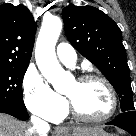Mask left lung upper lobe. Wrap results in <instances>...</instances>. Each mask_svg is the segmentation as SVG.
<instances>
[{
	"label": "left lung upper lobe",
	"instance_id": "left-lung-upper-lobe-1",
	"mask_svg": "<svg viewBox=\"0 0 136 136\" xmlns=\"http://www.w3.org/2000/svg\"><path fill=\"white\" fill-rule=\"evenodd\" d=\"M71 45L110 81L120 97L121 111H134L129 67L117 24L92 6L69 5L62 10Z\"/></svg>",
	"mask_w": 136,
	"mask_h": 136
}]
</instances>
